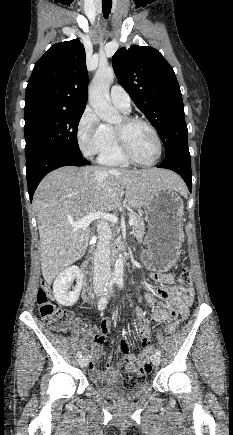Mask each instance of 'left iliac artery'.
Segmentation results:
<instances>
[{
    "label": "left iliac artery",
    "mask_w": 233,
    "mask_h": 435,
    "mask_svg": "<svg viewBox=\"0 0 233 435\" xmlns=\"http://www.w3.org/2000/svg\"><path fill=\"white\" fill-rule=\"evenodd\" d=\"M116 283H117V285H118L120 288H122L123 285H124L123 278H118L117 281H116ZM155 353H156L157 355H160V354H161V351H160L159 349H156Z\"/></svg>",
    "instance_id": "obj_1"
}]
</instances>
